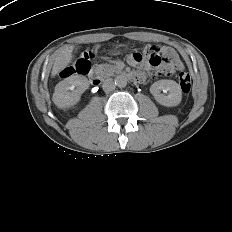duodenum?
<instances>
[{
	"mask_svg": "<svg viewBox=\"0 0 232 232\" xmlns=\"http://www.w3.org/2000/svg\"><path fill=\"white\" fill-rule=\"evenodd\" d=\"M88 77L94 84H100L102 81V77L96 68L90 70Z\"/></svg>",
	"mask_w": 232,
	"mask_h": 232,
	"instance_id": "obj_1",
	"label": "duodenum"
}]
</instances>
